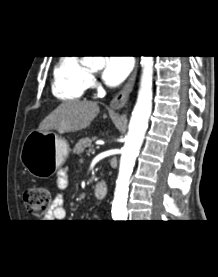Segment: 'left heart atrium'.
Listing matches in <instances>:
<instances>
[{
	"instance_id": "39dd6f15",
	"label": "left heart atrium",
	"mask_w": 218,
	"mask_h": 277,
	"mask_svg": "<svg viewBox=\"0 0 218 277\" xmlns=\"http://www.w3.org/2000/svg\"><path fill=\"white\" fill-rule=\"evenodd\" d=\"M131 68L130 58L109 56L104 65L103 80L109 86H116L127 77Z\"/></svg>"
}]
</instances>
